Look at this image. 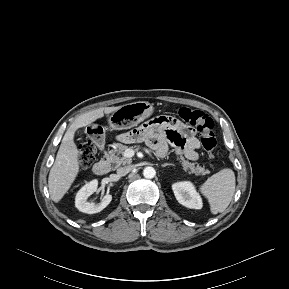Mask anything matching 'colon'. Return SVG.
Here are the masks:
<instances>
[{"label":"colon","instance_id":"1","mask_svg":"<svg viewBox=\"0 0 289 289\" xmlns=\"http://www.w3.org/2000/svg\"><path fill=\"white\" fill-rule=\"evenodd\" d=\"M177 115L184 123L194 126L200 133V142L209 159H214L216 139L214 122L205 112L187 107L180 108ZM96 148L93 142L83 140L79 145V163L88 167L94 160Z\"/></svg>","mask_w":289,"mask_h":289}]
</instances>
